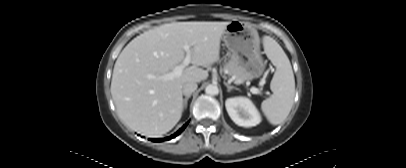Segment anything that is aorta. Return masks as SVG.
Here are the masks:
<instances>
[{
	"mask_svg": "<svg viewBox=\"0 0 406 168\" xmlns=\"http://www.w3.org/2000/svg\"><path fill=\"white\" fill-rule=\"evenodd\" d=\"M205 92L208 95L214 96V95H218L219 89L216 85L210 84L206 87Z\"/></svg>",
	"mask_w": 406,
	"mask_h": 168,
	"instance_id": "762f6f07",
	"label": "aorta"
}]
</instances>
